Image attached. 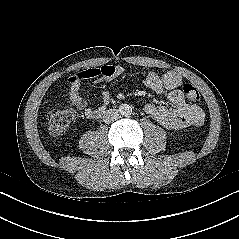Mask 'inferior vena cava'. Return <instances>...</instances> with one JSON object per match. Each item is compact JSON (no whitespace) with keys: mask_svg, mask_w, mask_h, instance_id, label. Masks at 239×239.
<instances>
[{"mask_svg":"<svg viewBox=\"0 0 239 239\" xmlns=\"http://www.w3.org/2000/svg\"><path fill=\"white\" fill-rule=\"evenodd\" d=\"M119 118L118 110L116 109H109L103 115V121L105 123H112Z\"/></svg>","mask_w":239,"mask_h":239,"instance_id":"602c4592","label":"inferior vena cava"}]
</instances>
